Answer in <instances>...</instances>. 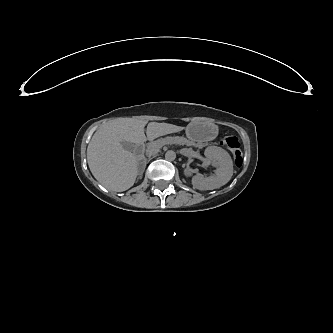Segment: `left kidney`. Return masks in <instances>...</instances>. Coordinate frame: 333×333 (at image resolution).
Here are the masks:
<instances>
[{
	"instance_id": "left-kidney-1",
	"label": "left kidney",
	"mask_w": 333,
	"mask_h": 333,
	"mask_svg": "<svg viewBox=\"0 0 333 333\" xmlns=\"http://www.w3.org/2000/svg\"><path fill=\"white\" fill-rule=\"evenodd\" d=\"M204 155L215 171L208 176L196 173L192 176V185L196 189L204 191L218 189L227 184L233 174V164L227 152L216 147L213 150H205ZM184 171L187 176H191L193 173L188 168Z\"/></svg>"
}]
</instances>
